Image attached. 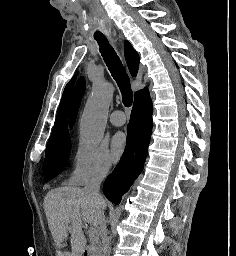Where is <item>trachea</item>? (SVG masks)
<instances>
[{"label": "trachea", "instance_id": "3493384b", "mask_svg": "<svg viewBox=\"0 0 236 256\" xmlns=\"http://www.w3.org/2000/svg\"><path fill=\"white\" fill-rule=\"evenodd\" d=\"M97 42L100 47V53L121 91L123 104L127 107L131 106L133 93L130 85V78L126 73L120 58L109 44L107 38H99L97 39Z\"/></svg>", "mask_w": 236, "mask_h": 256}]
</instances>
